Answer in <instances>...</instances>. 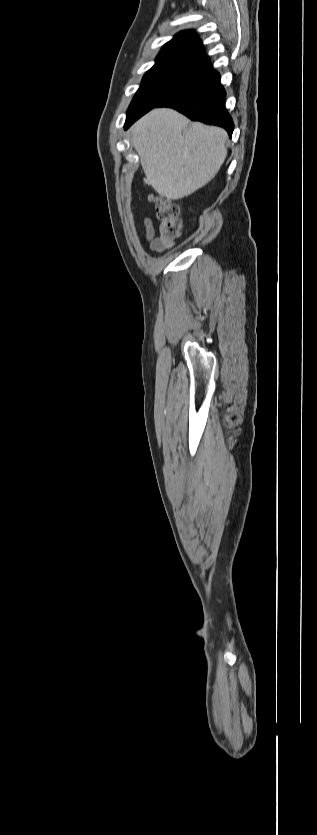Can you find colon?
Instances as JSON below:
<instances>
[{"mask_svg":"<svg viewBox=\"0 0 317 835\" xmlns=\"http://www.w3.org/2000/svg\"><path fill=\"white\" fill-rule=\"evenodd\" d=\"M148 198L155 204L156 216L160 221L161 244L163 247H169L180 237L182 231L179 206L164 195L155 192H151Z\"/></svg>","mask_w":317,"mask_h":835,"instance_id":"colon-1","label":"colon"}]
</instances>
